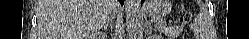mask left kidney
<instances>
[{
	"instance_id": "1",
	"label": "left kidney",
	"mask_w": 249,
	"mask_h": 39,
	"mask_svg": "<svg viewBox=\"0 0 249 39\" xmlns=\"http://www.w3.org/2000/svg\"><path fill=\"white\" fill-rule=\"evenodd\" d=\"M155 39H161V37L160 36H155Z\"/></svg>"
}]
</instances>
